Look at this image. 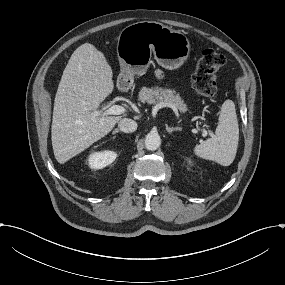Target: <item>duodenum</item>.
Wrapping results in <instances>:
<instances>
[{"mask_svg": "<svg viewBox=\"0 0 285 285\" xmlns=\"http://www.w3.org/2000/svg\"><path fill=\"white\" fill-rule=\"evenodd\" d=\"M118 87L121 90H128L131 87V80L128 77H121L118 80Z\"/></svg>", "mask_w": 285, "mask_h": 285, "instance_id": "duodenum-1", "label": "duodenum"}]
</instances>
